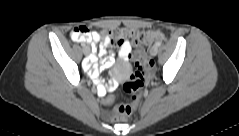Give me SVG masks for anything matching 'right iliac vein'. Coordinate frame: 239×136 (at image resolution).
<instances>
[{
	"label": "right iliac vein",
	"instance_id": "1",
	"mask_svg": "<svg viewBox=\"0 0 239 136\" xmlns=\"http://www.w3.org/2000/svg\"><path fill=\"white\" fill-rule=\"evenodd\" d=\"M83 53L85 55H89L90 54V48L88 46H86L85 48H83Z\"/></svg>",
	"mask_w": 239,
	"mask_h": 136
}]
</instances>
